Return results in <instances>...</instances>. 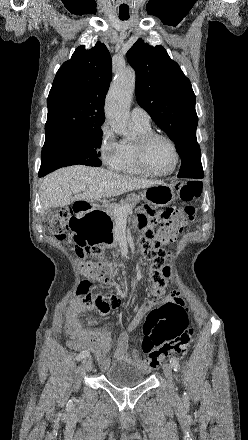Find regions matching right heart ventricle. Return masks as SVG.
<instances>
[{"label": "right heart ventricle", "instance_id": "right-heart-ventricle-1", "mask_svg": "<svg viewBox=\"0 0 248 440\" xmlns=\"http://www.w3.org/2000/svg\"><path fill=\"white\" fill-rule=\"evenodd\" d=\"M134 127L139 137L151 132L150 126H140L134 124ZM135 143L124 142L121 144L120 160L117 167L115 168V171L127 175L143 174L138 168L135 160Z\"/></svg>", "mask_w": 248, "mask_h": 440}]
</instances>
